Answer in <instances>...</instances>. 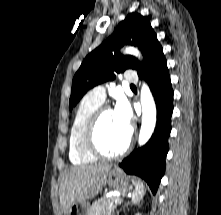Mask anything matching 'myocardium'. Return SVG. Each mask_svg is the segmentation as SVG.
<instances>
[{"label":"myocardium","mask_w":221,"mask_h":215,"mask_svg":"<svg viewBox=\"0 0 221 215\" xmlns=\"http://www.w3.org/2000/svg\"><path fill=\"white\" fill-rule=\"evenodd\" d=\"M110 111H113L110 106L107 105L100 106L92 115L85 131V136H84L85 147L89 151V153H91L96 158L117 159L123 157L130 151L134 142L133 132L130 131L129 139L126 145L120 151L116 153H107L100 147L97 139L99 124L102 117L107 112Z\"/></svg>","instance_id":"1"}]
</instances>
